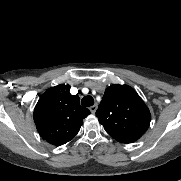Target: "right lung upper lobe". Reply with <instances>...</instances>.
<instances>
[{
    "label": "right lung upper lobe",
    "instance_id": "cb5924a9",
    "mask_svg": "<svg viewBox=\"0 0 181 181\" xmlns=\"http://www.w3.org/2000/svg\"><path fill=\"white\" fill-rule=\"evenodd\" d=\"M70 85L48 89L38 100L33 118L40 136L55 146L69 142L79 132L90 111L80 106L77 95L70 94Z\"/></svg>",
    "mask_w": 181,
    "mask_h": 181
}]
</instances>
